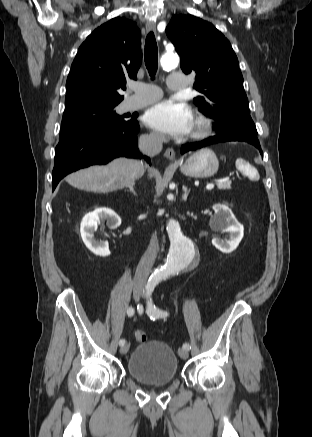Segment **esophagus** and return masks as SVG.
<instances>
[{"instance_id": "esophagus-1", "label": "esophagus", "mask_w": 312, "mask_h": 437, "mask_svg": "<svg viewBox=\"0 0 312 437\" xmlns=\"http://www.w3.org/2000/svg\"><path fill=\"white\" fill-rule=\"evenodd\" d=\"M146 30L147 32H155L156 31V24L154 21L149 20L146 23ZM164 157L167 158L170 161H174L175 159V152L173 148H167L164 152Z\"/></svg>"}]
</instances>
